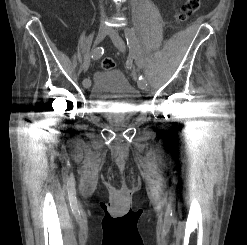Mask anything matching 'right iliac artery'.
Here are the masks:
<instances>
[{"label": "right iliac artery", "mask_w": 247, "mask_h": 245, "mask_svg": "<svg viewBox=\"0 0 247 245\" xmlns=\"http://www.w3.org/2000/svg\"><path fill=\"white\" fill-rule=\"evenodd\" d=\"M104 53V49L102 47H98L95 48L94 50H92L91 54L89 57H87V59H84L83 61V71H84V75L86 74L85 71L88 69L89 65H90V58L92 59L93 57H96L97 59H99L102 54Z\"/></svg>", "instance_id": "right-iliac-artery-1"}]
</instances>
